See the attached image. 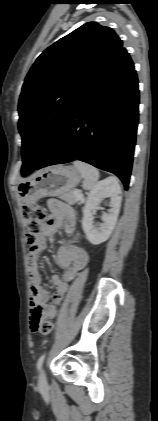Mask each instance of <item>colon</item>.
Returning <instances> with one entry per match:
<instances>
[{
	"mask_svg": "<svg viewBox=\"0 0 158 421\" xmlns=\"http://www.w3.org/2000/svg\"><path fill=\"white\" fill-rule=\"evenodd\" d=\"M22 216L26 227L27 244L30 250H35L41 240V233L46 219L45 210L39 206L25 205L22 208ZM52 328V322L44 320L35 328V331L45 335L50 333Z\"/></svg>",
	"mask_w": 158,
	"mask_h": 421,
	"instance_id": "1",
	"label": "colon"
}]
</instances>
